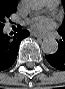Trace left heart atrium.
<instances>
[{
    "instance_id": "left-heart-atrium-1",
    "label": "left heart atrium",
    "mask_w": 65,
    "mask_h": 89,
    "mask_svg": "<svg viewBox=\"0 0 65 89\" xmlns=\"http://www.w3.org/2000/svg\"><path fill=\"white\" fill-rule=\"evenodd\" d=\"M51 26V21L47 18H41L33 23V28L39 31H45Z\"/></svg>"
}]
</instances>
